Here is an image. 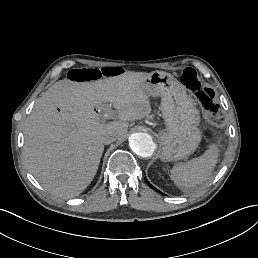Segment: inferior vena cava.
Returning a JSON list of instances; mask_svg holds the SVG:
<instances>
[{"label": "inferior vena cava", "mask_w": 258, "mask_h": 258, "mask_svg": "<svg viewBox=\"0 0 258 258\" xmlns=\"http://www.w3.org/2000/svg\"><path fill=\"white\" fill-rule=\"evenodd\" d=\"M119 135L114 132V131H107L103 136H102V142L104 144H110L117 140Z\"/></svg>", "instance_id": "602c4592"}]
</instances>
